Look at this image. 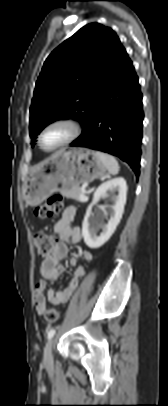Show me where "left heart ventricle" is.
<instances>
[{
	"instance_id": "1",
	"label": "left heart ventricle",
	"mask_w": 168,
	"mask_h": 406,
	"mask_svg": "<svg viewBox=\"0 0 168 406\" xmlns=\"http://www.w3.org/2000/svg\"><path fill=\"white\" fill-rule=\"evenodd\" d=\"M67 135L68 129L66 127H50L42 135V144L45 148H53L62 143Z\"/></svg>"
}]
</instances>
